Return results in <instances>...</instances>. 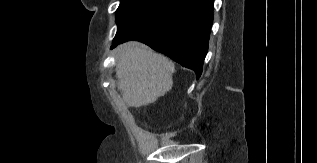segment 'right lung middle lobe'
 Masks as SVG:
<instances>
[{"label": "right lung middle lobe", "instance_id": "right-lung-middle-lobe-1", "mask_svg": "<svg viewBox=\"0 0 317 163\" xmlns=\"http://www.w3.org/2000/svg\"><path fill=\"white\" fill-rule=\"evenodd\" d=\"M174 2L175 0H121L116 11L118 29L114 41L152 22Z\"/></svg>", "mask_w": 317, "mask_h": 163}]
</instances>
